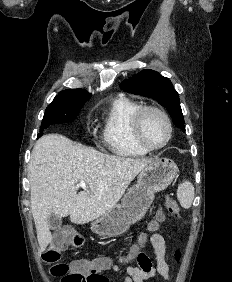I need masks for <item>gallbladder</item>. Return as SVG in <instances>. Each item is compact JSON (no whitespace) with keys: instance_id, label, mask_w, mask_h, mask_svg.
I'll return each instance as SVG.
<instances>
[{"instance_id":"bac80fb5","label":"gallbladder","mask_w":232,"mask_h":282,"mask_svg":"<svg viewBox=\"0 0 232 282\" xmlns=\"http://www.w3.org/2000/svg\"><path fill=\"white\" fill-rule=\"evenodd\" d=\"M47 223H48V227L50 230H55V229H58L62 225V219L61 217L55 214H52L49 216Z\"/></svg>"}]
</instances>
